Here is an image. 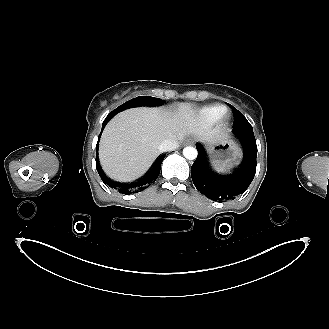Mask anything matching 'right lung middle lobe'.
<instances>
[{
    "label": "right lung middle lobe",
    "instance_id": "dd1d6c3e",
    "mask_svg": "<svg viewBox=\"0 0 329 329\" xmlns=\"http://www.w3.org/2000/svg\"><path fill=\"white\" fill-rule=\"evenodd\" d=\"M162 104H164V101L159 98L150 97V96H140L125 102L124 104L120 105L115 110H113L111 113H109L108 115L114 116L117 113L132 107L160 106Z\"/></svg>",
    "mask_w": 329,
    "mask_h": 329
}]
</instances>
